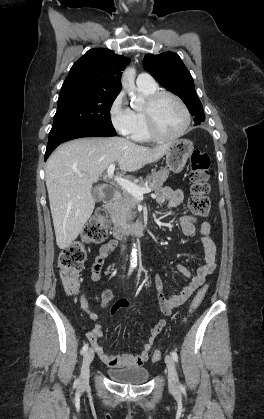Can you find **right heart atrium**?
Listing matches in <instances>:
<instances>
[{"label":"right heart atrium","instance_id":"right-heart-atrium-1","mask_svg":"<svg viewBox=\"0 0 264 419\" xmlns=\"http://www.w3.org/2000/svg\"><path fill=\"white\" fill-rule=\"evenodd\" d=\"M110 118L119 134L131 135L134 127V116L132 110L125 105L123 92H120L113 100L110 107Z\"/></svg>","mask_w":264,"mask_h":419}]
</instances>
